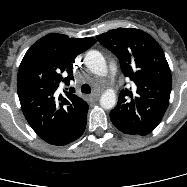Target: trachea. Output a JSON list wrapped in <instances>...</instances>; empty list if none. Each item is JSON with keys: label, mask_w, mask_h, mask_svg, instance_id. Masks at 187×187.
<instances>
[{"label": "trachea", "mask_w": 187, "mask_h": 187, "mask_svg": "<svg viewBox=\"0 0 187 187\" xmlns=\"http://www.w3.org/2000/svg\"><path fill=\"white\" fill-rule=\"evenodd\" d=\"M81 91L82 93H85V94H88L91 92V88L88 84H84L82 87H81Z\"/></svg>", "instance_id": "1"}]
</instances>
